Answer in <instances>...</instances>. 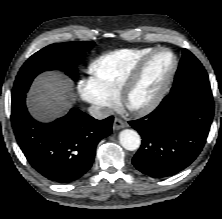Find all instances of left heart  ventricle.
Segmentation results:
<instances>
[{
	"label": "left heart ventricle",
	"instance_id": "b2bd125f",
	"mask_svg": "<svg viewBox=\"0 0 222 219\" xmlns=\"http://www.w3.org/2000/svg\"><path fill=\"white\" fill-rule=\"evenodd\" d=\"M172 63V56L167 52L153 57L146 67L141 82L131 95V103L141 105L148 102L160 89Z\"/></svg>",
	"mask_w": 222,
	"mask_h": 219
}]
</instances>
